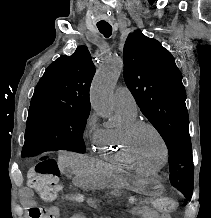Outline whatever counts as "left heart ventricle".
I'll return each instance as SVG.
<instances>
[{
  "label": "left heart ventricle",
  "instance_id": "1",
  "mask_svg": "<svg viewBox=\"0 0 211 218\" xmlns=\"http://www.w3.org/2000/svg\"><path fill=\"white\" fill-rule=\"evenodd\" d=\"M135 156L143 163L159 164L163 150L158 137L149 128H140L134 138Z\"/></svg>",
  "mask_w": 211,
  "mask_h": 218
}]
</instances>
